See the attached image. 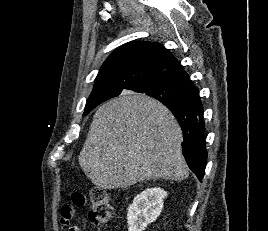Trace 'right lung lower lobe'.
<instances>
[{
    "mask_svg": "<svg viewBox=\"0 0 268 231\" xmlns=\"http://www.w3.org/2000/svg\"><path fill=\"white\" fill-rule=\"evenodd\" d=\"M164 105L177 118L183 131L182 151L184 158L189 168L202 181L207 160V150L204 138V111L199 92L197 90L194 98L188 103L171 102Z\"/></svg>",
    "mask_w": 268,
    "mask_h": 231,
    "instance_id": "right-lung-lower-lobe-1",
    "label": "right lung lower lobe"
}]
</instances>
